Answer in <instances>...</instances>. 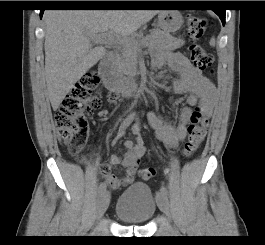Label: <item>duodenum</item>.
<instances>
[{
  "mask_svg": "<svg viewBox=\"0 0 265 245\" xmlns=\"http://www.w3.org/2000/svg\"><path fill=\"white\" fill-rule=\"evenodd\" d=\"M98 71L105 87L112 93L127 98L144 88L139 78L119 77L115 72V62L112 56H107L99 63Z\"/></svg>",
  "mask_w": 265,
  "mask_h": 245,
  "instance_id": "1",
  "label": "duodenum"
}]
</instances>
